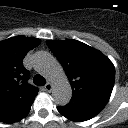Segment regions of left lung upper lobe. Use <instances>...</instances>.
Listing matches in <instances>:
<instances>
[{
    "mask_svg": "<svg viewBox=\"0 0 128 128\" xmlns=\"http://www.w3.org/2000/svg\"><path fill=\"white\" fill-rule=\"evenodd\" d=\"M73 89L71 101L105 106L110 98L115 68L100 51L77 40H48Z\"/></svg>",
    "mask_w": 128,
    "mask_h": 128,
    "instance_id": "obj_1",
    "label": "left lung upper lobe"
}]
</instances>
